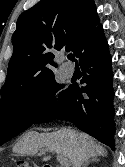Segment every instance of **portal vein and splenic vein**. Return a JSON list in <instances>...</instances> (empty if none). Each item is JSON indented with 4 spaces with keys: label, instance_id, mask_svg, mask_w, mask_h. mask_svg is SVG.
<instances>
[{
    "label": "portal vein and splenic vein",
    "instance_id": "1",
    "mask_svg": "<svg viewBox=\"0 0 125 167\" xmlns=\"http://www.w3.org/2000/svg\"><path fill=\"white\" fill-rule=\"evenodd\" d=\"M57 160L60 162L62 167H70L71 161L68 158H65L64 156L58 154Z\"/></svg>",
    "mask_w": 125,
    "mask_h": 167
}]
</instances>
